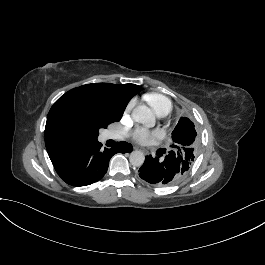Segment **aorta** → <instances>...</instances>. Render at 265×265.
<instances>
[{
    "label": "aorta",
    "instance_id": "1",
    "mask_svg": "<svg viewBox=\"0 0 265 265\" xmlns=\"http://www.w3.org/2000/svg\"><path fill=\"white\" fill-rule=\"evenodd\" d=\"M132 117L134 121L141 123L147 127H152L155 125V116L152 110L145 105H140L134 108ZM129 160L131 165L140 167L145 161V156L141 151H133L130 154Z\"/></svg>",
    "mask_w": 265,
    "mask_h": 265
}]
</instances>
